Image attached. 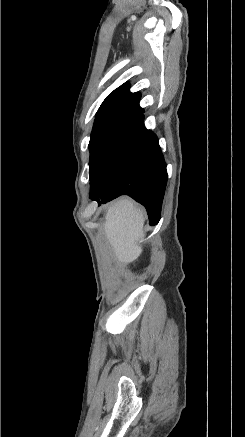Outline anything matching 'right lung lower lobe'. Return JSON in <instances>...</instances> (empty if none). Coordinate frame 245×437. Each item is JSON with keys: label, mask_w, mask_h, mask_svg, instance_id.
Here are the masks:
<instances>
[{"label": "right lung lower lobe", "mask_w": 245, "mask_h": 437, "mask_svg": "<svg viewBox=\"0 0 245 437\" xmlns=\"http://www.w3.org/2000/svg\"><path fill=\"white\" fill-rule=\"evenodd\" d=\"M144 119L112 147L90 179V198L99 205L129 195L147 210L149 224L160 220L167 183L166 164L157 136Z\"/></svg>", "instance_id": "right-lung-lower-lobe-1"}]
</instances>
